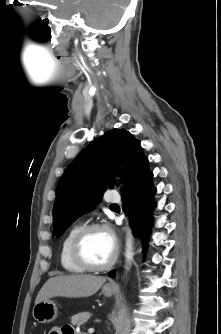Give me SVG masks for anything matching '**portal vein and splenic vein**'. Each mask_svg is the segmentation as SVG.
I'll use <instances>...</instances> for the list:
<instances>
[{"label": "portal vein and splenic vein", "mask_w": 221, "mask_h": 334, "mask_svg": "<svg viewBox=\"0 0 221 334\" xmlns=\"http://www.w3.org/2000/svg\"><path fill=\"white\" fill-rule=\"evenodd\" d=\"M88 332H89V333H93V332H94V328H89V329H88Z\"/></svg>", "instance_id": "1"}]
</instances>
